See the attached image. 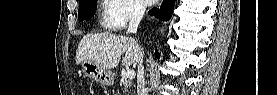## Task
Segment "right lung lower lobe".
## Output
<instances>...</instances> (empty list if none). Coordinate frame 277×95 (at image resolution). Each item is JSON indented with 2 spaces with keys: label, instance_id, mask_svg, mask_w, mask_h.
I'll return each instance as SVG.
<instances>
[{
  "label": "right lung lower lobe",
  "instance_id": "right-lung-lower-lobe-1",
  "mask_svg": "<svg viewBox=\"0 0 277 95\" xmlns=\"http://www.w3.org/2000/svg\"><path fill=\"white\" fill-rule=\"evenodd\" d=\"M173 7L174 0H163L161 6L159 8H153L149 11V14L157 17L159 20L168 21L171 18ZM155 56H159L157 50H155Z\"/></svg>",
  "mask_w": 277,
  "mask_h": 95
}]
</instances>
